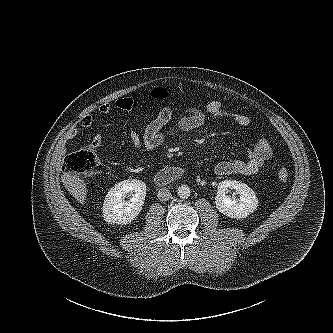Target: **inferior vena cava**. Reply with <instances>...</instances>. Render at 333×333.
I'll return each instance as SVG.
<instances>
[{
	"label": "inferior vena cava",
	"instance_id": "inferior-vena-cava-1",
	"mask_svg": "<svg viewBox=\"0 0 333 333\" xmlns=\"http://www.w3.org/2000/svg\"><path fill=\"white\" fill-rule=\"evenodd\" d=\"M157 197L160 201H167L172 197L171 192L166 188H161L158 191Z\"/></svg>",
	"mask_w": 333,
	"mask_h": 333
}]
</instances>
